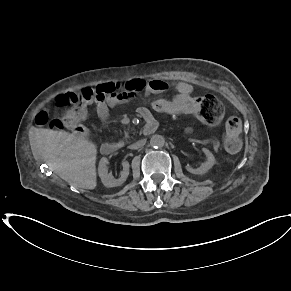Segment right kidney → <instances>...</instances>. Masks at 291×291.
Wrapping results in <instances>:
<instances>
[{
	"mask_svg": "<svg viewBox=\"0 0 291 291\" xmlns=\"http://www.w3.org/2000/svg\"><path fill=\"white\" fill-rule=\"evenodd\" d=\"M108 164L109 160L107 158H101L98 173L102 183L108 188L122 185L129 175V163L127 161L123 162V171L121 172V177L119 179H115L110 173H108Z\"/></svg>",
	"mask_w": 291,
	"mask_h": 291,
	"instance_id": "right-kidney-1",
	"label": "right kidney"
}]
</instances>
